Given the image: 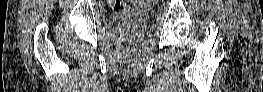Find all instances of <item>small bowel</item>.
Returning a JSON list of instances; mask_svg holds the SVG:
<instances>
[{
  "label": "small bowel",
  "mask_w": 263,
  "mask_h": 92,
  "mask_svg": "<svg viewBox=\"0 0 263 92\" xmlns=\"http://www.w3.org/2000/svg\"><path fill=\"white\" fill-rule=\"evenodd\" d=\"M128 4H129V3H126L125 6H124V8H127V7H128Z\"/></svg>",
  "instance_id": "c3829d8e"
}]
</instances>
